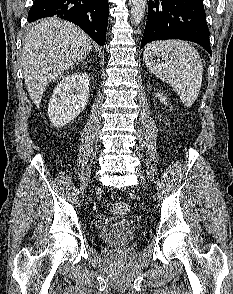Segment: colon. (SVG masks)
I'll use <instances>...</instances> for the list:
<instances>
[{"label": "colon", "instance_id": "5ec220e1", "mask_svg": "<svg viewBox=\"0 0 233 294\" xmlns=\"http://www.w3.org/2000/svg\"><path fill=\"white\" fill-rule=\"evenodd\" d=\"M130 209L131 205L128 202H116L111 207V211L116 215H125Z\"/></svg>", "mask_w": 233, "mask_h": 294}]
</instances>
